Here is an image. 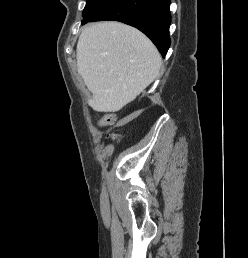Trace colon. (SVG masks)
<instances>
[{
    "label": "colon",
    "mask_w": 248,
    "mask_h": 258,
    "mask_svg": "<svg viewBox=\"0 0 248 258\" xmlns=\"http://www.w3.org/2000/svg\"><path fill=\"white\" fill-rule=\"evenodd\" d=\"M116 120V116L113 113H109V114H105L100 120H99V124L100 125H110L112 123H114ZM111 139L113 140H117L119 139V135L118 134H113L111 136Z\"/></svg>",
    "instance_id": "obj_1"
}]
</instances>
